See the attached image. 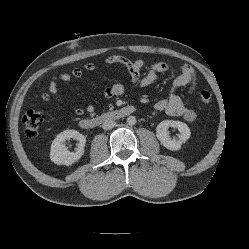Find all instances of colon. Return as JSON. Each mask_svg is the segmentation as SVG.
Listing matches in <instances>:
<instances>
[{
  "label": "colon",
  "instance_id": "5ec220e1",
  "mask_svg": "<svg viewBox=\"0 0 249 249\" xmlns=\"http://www.w3.org/2000/svg\"><path fill=\"white\" fill-rule=\"evenodd\" d=\"M211 92L204 89L200 92V98L207 103L211 100ZM46 112L43 109L28 110L23 117L24 131L27 137L35 138L44 122Z\"/></svg>",
  "mask_w": 249,
  "mask_h": 249
}]
</instances>
